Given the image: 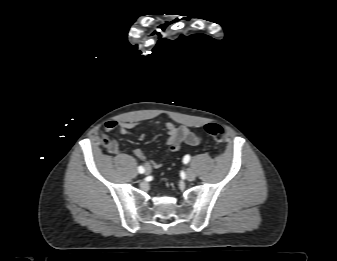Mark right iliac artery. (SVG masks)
<instances>
[{
  "label": "right iliac artery",
  "mask_w": 337,
  "mask_h": 261,
  "mask_svg": "<svg viewBox=\"0 0 337 261\" xmlns=\"http://www.w3.org/2000/svg\"><path fill=\"white\" fill-rule=\"evenodd\" d=\"M138 172H139V173H144V172H145V169H144L142 166H139V167H138Z\"/></svg>",
  "instance_id": "82829eb1"
}]
</instances>
